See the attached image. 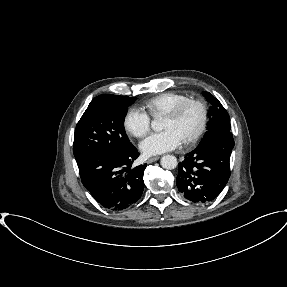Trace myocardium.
<instances>
[{
  "mask_svg": "<svg viewBox=\"0 0 287 287\" xmlns=\"http://www.w3.org/2000/svg\"><path fill=\"white\" fill-rule=\"evenodd\" d=\"M196 106L200 113V119L197 128L194 130V132L183 142L186 145H191L196 143L205 133L207 125H208V107L206 103L200 99L196 98H187L184 101L180 102L176 106H174L172 109L167 111L164 116L170 117V118H177L185 108L188 106Z\"/></svg>",
  "mask_w": 287,
  "mask_h": 287,
  "instance_id": "1",
  "label": "myocardium"
}]
</instances>
